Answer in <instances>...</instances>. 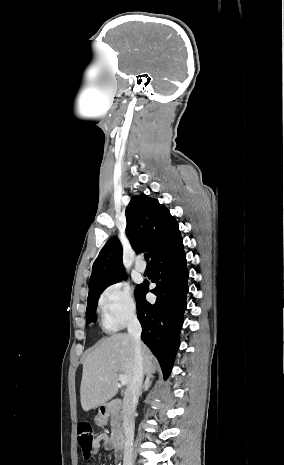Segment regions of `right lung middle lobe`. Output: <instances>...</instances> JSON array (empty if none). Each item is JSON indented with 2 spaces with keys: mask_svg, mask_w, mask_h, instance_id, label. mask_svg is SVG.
<instances>
[{
  "mask_svg": "<svg viewBox=\"0 0 284 465\" xmlns=\"http://www.w3.org/2000/svg\"><path fill=\"white\" fill-rule=\"evenodd\" d=\"M126 277L124 278H121V279H118L110 284H108L107 286L111 285V284H114L118 281H121L122 279H125ZM103 287L101 288L100 290L90 294L88 296V299H87V309H86V322L87 323H90V322H93L96 320V307H97V302H98V298L100 296V294L103 292V290L107 287ZM138 288V285L136 286V289ZM135 289V290H136Z\"/></svg>",
  "mask_w": 284,
  "mask_h": 465,
  "instance_id": "dd1d6c3e",
  "label": "right lung middle lobe"
}]
</instances>
